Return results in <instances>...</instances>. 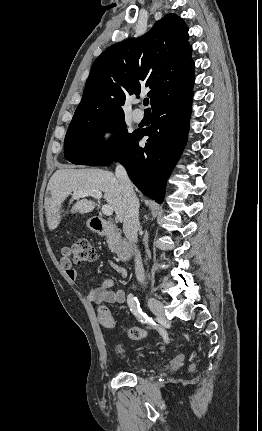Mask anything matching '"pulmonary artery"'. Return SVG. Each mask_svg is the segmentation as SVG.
Here are the masks:
<instances>
[{
    "instance_id": "1",
    "label": "pulmonary artery",
    "mask_w": 262,
    "mask_h": 431,
    "mask_svg": "<svg viewBox=\"0 0 262 431\" xmlns=\"http://www.w3.org/2000/svg\"><path fill=\"white\" fill-rule=\"evenodd\" d=\"M132 116H133L134 121L140 122L144 118V112L141 109H136L133 111Z\"/></svg>"
}]
</instances>
